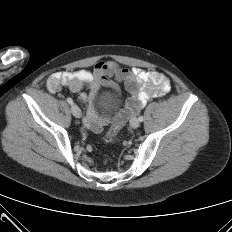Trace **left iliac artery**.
Wrapping results in <instances>:
<instances>
[{
	"mask_svg": "<svg viewBox=\"0 0 232 232\" xmlns=\"http://www.w3.org/2000/svg\"><path fill=\"white\" fill-rule=\"evenodd\" d=\"M138 120H139L140 122H142V121L144 120V117H143V116H139V117H138Z\"/></svg>",
	"mask_w": 232,
	"mask_h": 232,
	"instance_id": "44dca946",
	"label": "left iliac artery"
}]
</instances>
